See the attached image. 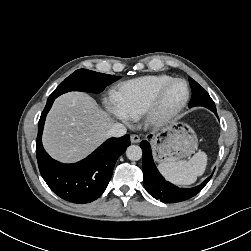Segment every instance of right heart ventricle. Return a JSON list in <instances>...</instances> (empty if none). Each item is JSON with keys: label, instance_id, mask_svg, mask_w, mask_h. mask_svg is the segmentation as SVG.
Here are the masks:
<instances>
[{"label": "right heart ventricle", "instance_id": "obj_1", "mask_svg": "<svg viewBox=\"0 0 251 251\" xmlns=\"http://www.w3.org/2000/svg\"><path fill=\"white\" fill-rule=\"evenodd\" d=\"M173 77L165 74L149 75L123 82L114 92L118 108L130 119L143 115L156 92Z\"/></svg>", "mask_w": 251, "mask_h": 251}]
</instances>
